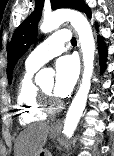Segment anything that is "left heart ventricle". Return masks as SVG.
<instances>
[{
  "label": "left heart ventricle",
  "mask_w": 114,
  "mask_h": 156,
  "mask_svg": "<svg viewBox=\"0 0 114 156\" xmlns=\"http://www.w3.org/2000/svg\"><path fill=\"white\" fill-rule=\"evenodd\" d=\"M45 91L47 92H51L52 91V88H53V82H48L44 85L41 86Z\"/></svg>",
  "instance_id": "1"
}]
</instances>
